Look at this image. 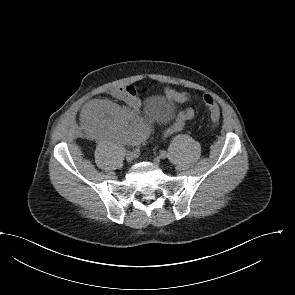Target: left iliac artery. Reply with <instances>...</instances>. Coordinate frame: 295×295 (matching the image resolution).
<instances>
[{"label":"left iliac artery","mask_w":295,"mask_h":295,"mask_svg":"<svg viewBox=\"0 0 295 295\" xmlns=\"http://www.w3.org/2000/svg\"><path fill=\"white\" fill-rule=\"evenodd\" d=\"M160 156H161L162 158H166V157H167V153H166V151L161 150V151H160Z\"/></svg>","instance_id":"obj_1"}]
</instances>
